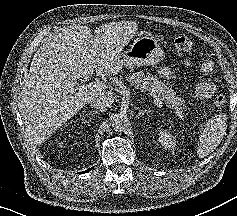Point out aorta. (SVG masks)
I'll use <instances>...</instances> for the list:
<instances>
[{
	"label": "aorta",
	"mask_w": 237,
	"mask_h": 216,
	"mask_svg": "<svg viewBox=\"0 0 237 216\" xmlns=\"http://www.w3.org/2000/svg\"><path fill=\"white\" fill-rule=\"evenodd\" d=\"M128 120L123 115H116L112 120V128L117 132H124L128 127Z\"/></svg>",
	"instance_id": "aorta-1"
}]
</instances>
